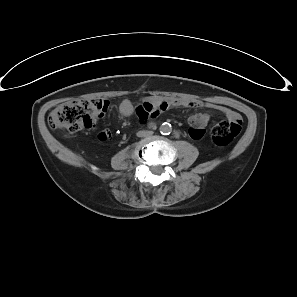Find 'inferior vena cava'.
<instances>
[{
	"label": "inferior vena cava",
	"mask_w": 297,
	"mask_h": 297,
	"mask_svg": "<svg viewBox=\"0 0 297 297\" xmlns=\"http://www.w3.org/2000/svg\"><path fill=\"white\" fill-rule=\"evenodd\" d=\"M152 134H153V132L148 131V130H142V131L137 132L138 137H147V136H150Z\"/></svg>",
	"instance_id": "obj_1"
}]
</instances>
